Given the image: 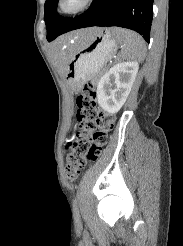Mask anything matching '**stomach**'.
I'll list each match as a JSON object with an SVG mask.
<instances>
[{
  "instance_id": "0dacf381",
  "label": "stomach",
  "mask_w": 183,
  "mask_h": 246,
  "mask_svg": "<svg viewBox=\"0 0 183 246\" xmlns=\"http://www.w3.org/2000/svg\"><path fill=\"white\" fill-rule=\"evenodd\" d=\"M115 29H100L92 39L81 42H66L64 52L68 56L67 82L73 91L95 76L117 49Z\"/></svg>"
}]
</instances>
